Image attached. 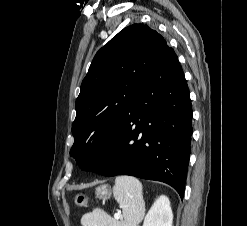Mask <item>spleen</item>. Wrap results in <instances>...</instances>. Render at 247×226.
Segmentation results:
<instances>
[{"label": "spleen", "instance_id": "1", "mask_svg": "<svg viewBox=\"0 0 247 226\" xmlns=\"http://www.w3.org/2000/svg\"><path fill=\"white\" fill-rule=\"evenodd\" d=\"M113 194L123 211V221L115 222L102 209L96 208L82 216L83 226H137L144 213L141 182L132 176H118Z\"/></svg>", "mask_w": 247, "mask_h": 226}]
</instances>
